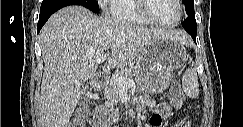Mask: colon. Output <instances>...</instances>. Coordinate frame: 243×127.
Listing matches in <instances>:
<instances>
[{"label":"colon","instance_id":"1","mask_svg":"<svg viewBox=\"0 0 243 127\" xmlns=\"http://www.w3.org/2000/svg\"><path fill=\"white\" fill-rule=\"evenodd\" d=\"M170 95L171 97H175V98H183L181 89L177 83H175L171 87ZM86 117H87V109L85 107L77 108L74 116V123H75L74 126L83 127Z\"/></svg>","mask_w":243,"mask_h":127}]
</instances>
